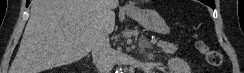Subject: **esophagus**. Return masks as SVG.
<instances>
[{
  "label": "esophagus",
  "mask_w": 244,
  "mask_h": 73,
  "mask_svg": "<svg viewBox=\"0 0 244 73\" xmlns=\"http://www.w3.org/2000/svg\"><path fill=\"white\" fill-rule=\"evenodd\" d=\"M134 8V5L132 3H126L125 4V9L126 10H130V9H133Z\"/></svg>",
  "instance_id": "34e87169"
}]
</instances>
